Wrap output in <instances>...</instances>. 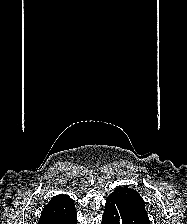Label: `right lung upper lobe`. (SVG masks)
Listing matches in <instances>:
<instances>
[{"instance_id":"cb5924a9","label":"right lung upper lobe","mask_w":187,"mask_h":224,"mask_svg":"<svg viewBox=\"0 0 187 224\" xmlns=\"http://www.w3.org/2000/svg\"><path fill=\"white\" fill-rule=\"evenodd\" d=\"M74 210V202L69 196L57 195L44 207L39 224H56L69 217Z\"/></svg>"}]
</instances>
